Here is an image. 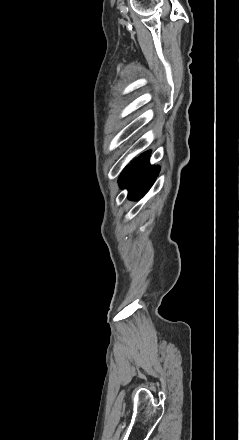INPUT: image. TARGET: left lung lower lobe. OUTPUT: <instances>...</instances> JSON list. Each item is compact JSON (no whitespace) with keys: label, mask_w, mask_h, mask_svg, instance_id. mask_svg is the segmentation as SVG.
<instances>
[{"label":"left lung lower lobe","mask_w":239,"mask_h":440,"mask_svg":"<svg viewBox=\"0 0 239 440\" xmlns=\"http://www.w3.org/2000/svg\"><path fill=\"white\" fill-rule=\"evenodd\" d=\"M150 151H146L127 166L119 176L121 188H127L129 199H140L153 185L159 167L149 165Z\"/></svg>","instance_id":"left-lung-lower-lobe-1"}]
</instances>
